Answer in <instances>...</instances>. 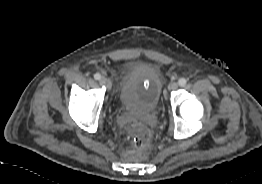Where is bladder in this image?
Returning <instances> with one entry per match:
<instances>
[{"label": "bladder", "mask_w": 262, "mask_h": 184, "mask_svg": "<svg viewBox=\"0 0 262 184\" xmlns=\"http://www.w3.org/2000/svg\"><path fill=\"white\" fill-rule=\"evenodd\" d=\"M162 75L151 66L139 65L127 71L119 90L122 110L130 115L154 110L161 98Z\"/></svg>", "instance_id": "bladder-1"}]
</instances>
